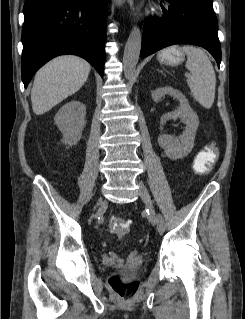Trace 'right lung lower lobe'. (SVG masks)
Segmentation results:
<instances>
[{
	"label": "right lung lower lobe",
	"instance_id": "obj_1",
	"mask_svg": "<svg viewBox=\"0 0 245 319\" xmlns=\"http://www.w3.org/2000/svg\"><path fill=\"white\" fill-rule=\"evenodd\" d=\"M23 13L25 88L42 65L62 54L83 57L103 75L107 0H26Z\"/></svg>",
	"mask_w": 245,
	"mask_h": 319
}]
</instances>
